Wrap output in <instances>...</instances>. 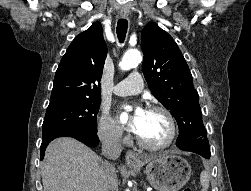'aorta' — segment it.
<instances>
[{
  "mask_svg": "<svg viewBox=\"0 0 251 191\" xmlns=\"http://www.w3.org/2000/svg\"><path fill=\"white\" fill-rule=\"evenodd\" d=\"M141 58L142 56L138 50H127L120 62L121 70H131L135 64H139ZM120 117L121 119H127V113H121Z\"/></svg>",
  "mask_w": 251,
  "mask_h": 191,
  "instance_id": "obj_1",
  "label": "aorta"
}]
</instances>
